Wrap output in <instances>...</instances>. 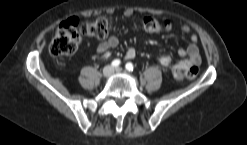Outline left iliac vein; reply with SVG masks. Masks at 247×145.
<instances>
[{
    "instance_id": "4c4485c4",
    "label": "left iliac vein",
    "mask_w": 247,
    "mask_h": 145,
    "mask_svg": "<svg viewBox=\"0 0 247 145\" xmlns=\"http://www.w3.org/2000/svg\"><path fill=\"white\" fill-rule=\"evenodd\" d=\"M115 71H116L117 73H119V72L122 71V69H121L120 67H118V68L115 69Z\"/></svg>"
}]
</instances>
